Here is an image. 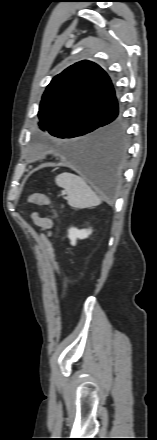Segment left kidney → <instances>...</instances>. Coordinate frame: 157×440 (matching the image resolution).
Segmentation results:
<instances>
[{
  "label": "left kidney",
  "instance_id": "5707ae66",
  "mask_svg": "<svg viewBox=\"0 0 157 440\" xmlns=\"http://www.w3.org/2000/svg\"><path fill=\"white\" fill-rule=\"evenodd\" d=\"M92 229H77L75 227H71L68 230V238L70 239L71 245H76L77 239H86L91 235Z\"/></svg>",
  "mask_w": 157,
  "mask_h": 440
}]
</instances>
